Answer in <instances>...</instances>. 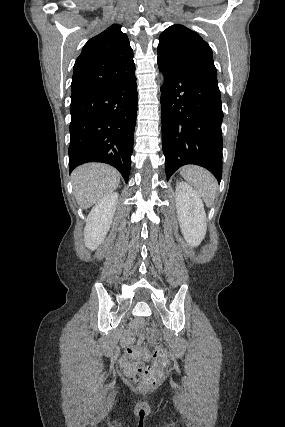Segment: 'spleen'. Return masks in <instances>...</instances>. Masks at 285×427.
I'll list each match as a JSON object with an SVG mask.
<instances>
[{"mask_svg":"<svg viewBox=\"0 0 285 427\" xmlns=\"http://www.w3.org/2000/svg\"><path fill=\"white\" fill-rule=\"evenodd\" d=\"M183 178L198 192L207 206L214 202L217 181L207 170L199 166H184L180 169Z\"/></svg>","mask_w":285,"mask_h":427,"instance_id":"obj_1","label":"spleen"}]
</instances>
